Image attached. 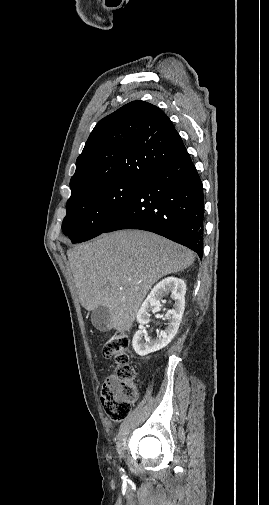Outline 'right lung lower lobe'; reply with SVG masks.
Segmentation results:
<instances>
[{
  "mask_svg": "<svg viewBox=\"0 0 269 505\" xmlns=\"http://www.w3.org/2000/svg\"><path fill=\"white\" fill-rule=\"evenodd\" d=\"M142 229L203 255L204 193L188 152L149 173L103 233Z\"/></svg>",
  "mask_w": 269,
  "mask_h": 505,
  "instance_id": "1",
  "label": "right lung lower lobe"
}]
</instances>
